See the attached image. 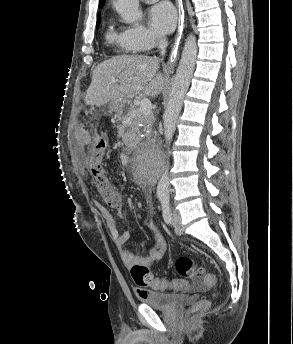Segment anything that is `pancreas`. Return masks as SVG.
I'll list each match as a JSON object with an SVG mask.
<instances>
[{"instance_id": "1", "label": "pancreas", "mask_w": 293, "mask_h": 344, "mask_svg": "<svg viewBox=\"0 0 293 344\" xmlns=\"http://www.w3.org/2000/svg\"><path fill=\"white\" fill-rule=\"evenodd\" d=\"M153 121V114L144 115L140 112L139 109H135L133 106V109L130 113V121L128 122L127 126L134 132L139 134L140 129H142L144 132L147 130H151ZM140 125H142V127H140Z\"/></svg>"}]
</instances>
